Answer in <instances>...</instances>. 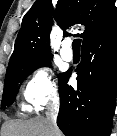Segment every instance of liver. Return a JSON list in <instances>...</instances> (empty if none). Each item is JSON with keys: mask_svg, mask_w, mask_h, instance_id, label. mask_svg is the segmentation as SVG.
<instances>
[{"mask_svg": "<svg viewBox=\"0 0 117 136\" xmlns=\"http://www.w3.org/2000/svg\"><path fill=\"white\" fill-rule=\"evenodd\" d=\"M2 132V136H62L59 130L55 133L51 123L44 118L8 121L3 125Z\"/></svg>", "mask_w": 117, "mask_h": 136, "instance_id": "liver-1", "label": "liver"}]
</instances>
